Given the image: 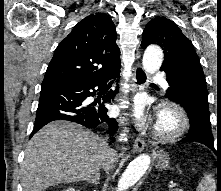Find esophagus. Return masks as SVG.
<instances>
[{
    "label": "esophagus",
    "instance_id": "34e87169",
    "mask_svg": "<svg viewBox=\"0 0 221 191\" xmlns=\"http://www.w3.org/2000/svg\"><path fill=\"white\" fill-rule=\"evenodd\" d=\"M147 81L148 77L144 68L142 67L141 64H137L134 67L133 93L143 90L145 85L147 84ZM144 147H145L144 140L138 137L133 145V152L140 153L143 151Z\"/></svg>",
    "mask_w": 221,
    "mask_h": 191
}]
</instances>
